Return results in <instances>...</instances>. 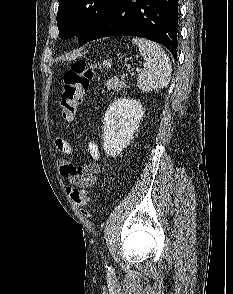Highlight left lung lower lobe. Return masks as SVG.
<instances>
[{
	"label": "left lung lower lobe",
	"mask_w": 233,
	"mask_h": 294,
	"mask_svg": "<svg viewBox=\"0 0 233 294\" xmlns=\"http://www.w3.org/2000/svg\"><path fill=\"white\" fill-rule=\"evenodd\" d=\"M177 27L178 0H113L87 42L107 36H139L164 45L176 59Z\"/></svg>",
	"instance_id": "left-lung-lower-lobe-1"
}]
</instances>
